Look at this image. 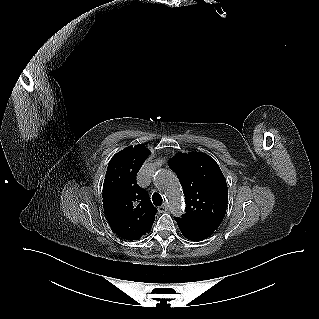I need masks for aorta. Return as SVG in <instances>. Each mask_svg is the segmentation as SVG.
I'll return each instance as SVG.
<instances>
[{"mask_svg": "<svg viewBox=\"0 0 319 319\" xmlns=\"http://www.w3.org/2000/svg\"><path fill=\"white\" fill-rule=\"evenodd\" d=\"M154 183L165 194L169 208L174 216L184 213L178 181L172 171L159 169L154 175Z\"/></svg>", "mask_w": 319, "mask_h": 319, "instance_id": "1", "label": "aorta"}]
</instances>
